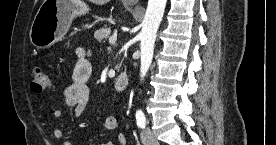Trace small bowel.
Listing matches in <instances>:
<instances>
[{
    "label": "small bowel",
    "mask_w": 276,
    "mask_h": 145,
    "mask_svg": "<svg viewBox=\"0 0 276 145\" xmlns=\"http://www.w3.org/2000/svg\"><path fill=\"white\" fill-rule=\"evenodd\" d=\"M92 72V66L88 60L86 53L83 50H79L78 59L75 63L72 75V84H70L64 91L63 99L60 105L54 111L55 118H61L64 113V109L71 108L72 114L75 119L81 118L88 106L90 90L87 85L89 77ZM105 127L109 131H117L119 128L118 120L114 116H109L105 119ZM53 135L56 139L61 140L65 136L64 129L57 127L53 131ZM118 144L127 145V140L123 134L118 135ZM64 145H71L69 141H65ZM105 145H113L111 142H107Z\"/></svg>",
    "instance_id": "c3829d8e"
}]
</instances>
